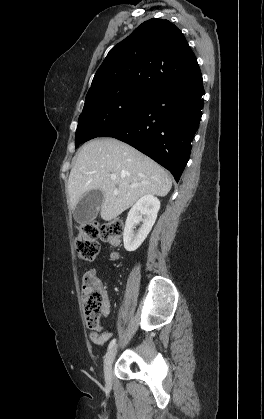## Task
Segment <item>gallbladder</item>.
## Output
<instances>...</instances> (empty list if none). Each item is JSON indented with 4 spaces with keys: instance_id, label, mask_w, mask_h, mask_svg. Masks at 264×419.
Here are the masks:
<instances>
[{
    "instance_id": "bac80fb5",
    "label": "gallbladder",
    "mask_w": 264,
    "mask_h": 419,
    "mask_svg": "<svg viewBox=\"0 0 264 419\" xmlns=\"http://www.w3.org/2000/svg\"><path fill=\"white\" fill-rule=\"evenodd\" d=\"M104 194L100 190L86 192L74 208V219L80 224L93 221L103 204Z\"/></svg>"
}]
</instances>
